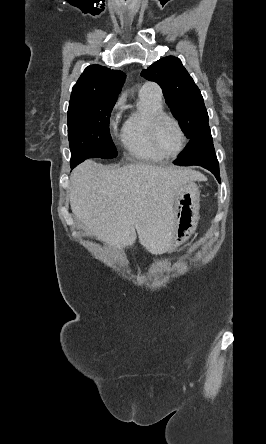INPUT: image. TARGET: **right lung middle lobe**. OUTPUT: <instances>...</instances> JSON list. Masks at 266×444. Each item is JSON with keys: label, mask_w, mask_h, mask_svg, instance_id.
Instances as JSON below:
<instances>
[{"label": "right lung middle lobe", "mask_w": 266, "mask_h": 444, "mask_svg": "<svg viewBox=\"0 0 266 444\" xmlns=\"http://www.w3.org/2000/svg\"><path fill=\"white\" fill-rule=\"evenodd\" d=\"M117 98H99L69 105L68 137L71 164H79L89 157L104 159L117 156L109 133V119Z\"/></svg>", "instance_id": "1"}]
</instances>
